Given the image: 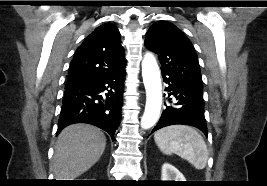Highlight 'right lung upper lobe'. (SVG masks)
I'll return each instance as SVG.
<instances>
[{
  "instance_id": "right-lung-upper-lobe-1",
  "label": "right lung upper lobe",
  "mask_w": 267,
  "mask_h": 186,
  "mask_svg": "<svg viewBox=\"0 0 267 186\" xmlns=\"http://www.w3.org/2000/svg\"><path fill=\"white\" fill-rule=\"evenodd\" d=\"M126 64L117 27L106 23L96 28L77 48L67 81L113 71Z\"/></svg>"
}]
</instances>
